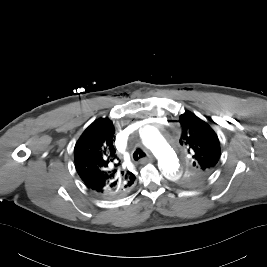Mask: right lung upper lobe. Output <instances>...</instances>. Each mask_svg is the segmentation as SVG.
<instances>
[{
  "label": "right lung upper lobe",
  "mask_w": 267,
  "mask_h": 267,
  "mask_svg": "<svg viewBox=\"0 0 267 267\" xmlns=\"http://www.w3.org/2000/svg\"><path fill=\"white\" fill-rule=\"evenodd\" d=\"M114 133L108 118L98 119L83 132L74 148L80 178L88 189L103 197L124 196L136 178L132 172L122 169L113 146Z\"/></svg>",
  "instance_id": "right-lung-upper-lobe-1"
}]
</instances>
